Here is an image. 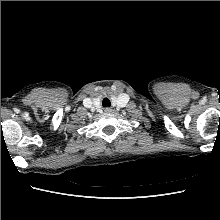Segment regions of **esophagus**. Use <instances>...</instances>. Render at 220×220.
Listing matches in <instances>:
<instances>
[{"mask_svg":"<svg viewBox=\"0 0 220 220\" xmlns=\"http://www.w3.org/2000/svg\"><path fill=\"white\" fill-rule=\"evenodd\" d=\"M111 110H112V109H110V108H106V109H105V112L109 113V112H111Z\"/></svg>","mask_w":220,"mask_h":220,"instance_id":"1","label":"esophagus"}]
</instances>
